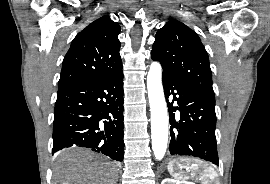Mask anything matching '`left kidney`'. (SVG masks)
Masks as SVG:
<instances>
[{
  "mask_svg": "<svg viewBox=\"0 0 270 184\" xmlns=\"http://www.w3.org/2000/svg\"><path fill=\"white\" fill-rule=\"evenodd\" d=\"M161 184H188V183H183V182L175 180V179L165 178V179H163Z\"/></svg>",
  "mask_w": 270,
  "mask_h": 184,
  "instance_id": "1",
  "label": "left kidney"
}]
</instances>
